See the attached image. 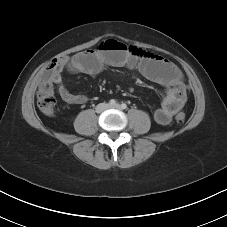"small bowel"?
<instances>
[{
  "mask_svg": "<svg viewBox=\"0 0 227 227\" xmlns=\"http://www.w3.org/2000/svg\"><path fill=\"white\" fill-rule=\"evenodd\" d=\"M105 66L137 68L148 80L163 86L166 90L161 106L155 110L154 119L160 125L170 123L173 115L185 104L186 95L180 70L162 56L145 52L144 56L134 54L125 44L109 39L96 49L79 52L72 57H62L53 68L48 79L57 85L59 96L72 104H84L88 97L72 94L62 83V73L98 74Z\"/></svg>",
  "mask_w": 227,
  "mask_h": 227,
  "instance_id": "obj_1",
  "label": "small bowel"
}]
</instances>
